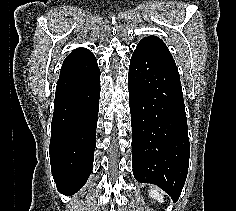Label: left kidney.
<instances>
[{"label": "left kidney", "mask_w": 236, "mask_h": 211, "mask_svg": "<svg viewBox=\"0 0 236 211\" xmlns=\"http://www.w3.org/2000/svg\"><path fill=\"white\" fill-rule=\"evenodd\" d=\"M158 188H151L149 190V196L152 197L154 200H157L158 202L162 203L163 202V196L159 193Z\"/></svg>", "instance_id": "left-kidney-1"}]
</instances>
